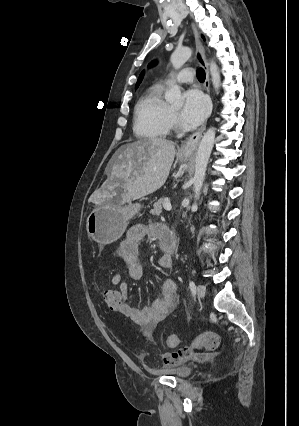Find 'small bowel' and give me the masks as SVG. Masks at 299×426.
I'll use <instances>...</instances> for the list:
<instances>
[{
  "instance_id": "1",
  "label": "small bowel",
  "mask_w": 299,
  "mask_h": 426,
  "mask_svg": "<svg viewBox=\"0 0 299 426\" xmlns=\"http://www.w3.org/2000/svg\"><path fill=\"white\" fill-rule=\"evenodd\" d=\"M165 227L159 224L149 226L135 225L131 227L126 237L117 248L118 257L124 262L128 276L134 280L142 277L143 268L139 260V243L145 237L157 239L160 242L162 231ZM161 268L168 269L172 266L171 256L165 254L158 259ZM111 284L123 294V304L119 312L130 318L140 326L145 336L150 337L155 326L164 320L177 306V285L173 280H166L161 286V294L146 308L132 307L128 303V285L122 273H117L111 278ZM165 365H176L189 360L192 355L179 350L161 355Z\"/></svg>"
}]
</instances>
